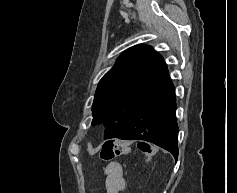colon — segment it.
<instances>
[{
    "mask_svg": "<svg viewBox=\"0 0 237 193\" xmlns=\"http://www.w3.org/2000/svg\"><path fill=\"white\" fill-rule=\"evenodd\" d=\"M139 149L142 153L150 158L153 155V150L150 145L146 143H139ZM130 150V145L126 141H108L105 142L99 152V157L104 162H111L117 156L127 154Z\"/></svg>",
    "mask_w": 237,
    "mask_h": 193,
    "instance_id": "obj_1",
    "label": "colon"
}]
</instances>
